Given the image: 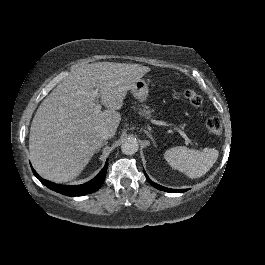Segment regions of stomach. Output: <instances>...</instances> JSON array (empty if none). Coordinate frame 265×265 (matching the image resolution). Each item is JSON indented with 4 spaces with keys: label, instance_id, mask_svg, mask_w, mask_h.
Instances as JSON below:
<instances>
[{
    "label": "stomach",
    "instance_id": "1",
    "mask_svg": "<svg viewBox=\"0 0 265 265\" xmlns=\"http://www.w3.org/2000/svg\"><path fill=\"white\" fill-rule=\"evenodd\" d=\"M128 90L136 99L143 101L148 94V84L142 79H137Z\"/></svg>",
    "mask_w": 265,
    "mask_h": 265
}]
</instances>
